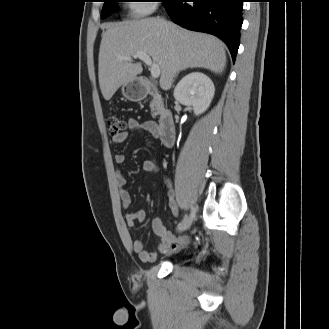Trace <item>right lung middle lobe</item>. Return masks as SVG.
<instances>
[{
	"label": "right lung middle lobe",
	"mask_w": 329,
	"mask_h": 329,
	"mask_svg": "<svg viewBox=\"0 0 329 329\" xmlns=\"http://www.w3.org/2000/svg\"><path fill=\"white\" fill-rule=\"evenodd\" d=\"M120 0H104V6L101 12V17L105 18L109 16L115 9H116V3ZM163 4L167 2L168 0H162Z\"/></svg>",
	"instance_id": "obj_1"
}]
</instances>
